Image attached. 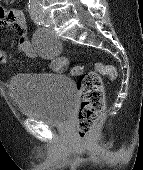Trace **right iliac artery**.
<instances>
[{"label": "right iliac artery", "instance_id": "82829eb1", "mask_svg": "<svg viewBox=\"0 0 143 170\" xmlns=\"http://www.w3.org/2000/svg\"><path fill=\"white\" fill-rule=\"evenodd\" d=\"M34 21H35V23H36V24L41 25V23H40V19L35 18V19H34Z\"/></svg>", "mask_w": 143, "mask_h": 170}]
</instances>
